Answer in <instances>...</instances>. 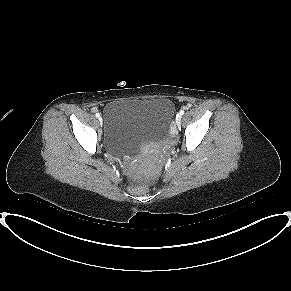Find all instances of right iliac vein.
Wrapping results in <instances>:
<instances>
[{
  "label": "right iliac vein",
  "mask_w": 291,
  "mask_h": 291,
  "mask_svg": "<svg viewBox=\"0 0 291 291\" xmlns=\"http://www.w3.org/2000/svg\"><path fill=\"white\" fill-rule=\"evenodd\" d=\"M99 121L102 122V117H99Z\"/></svg>",
  "instance_id": "1"
}]
</instances>
